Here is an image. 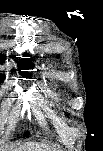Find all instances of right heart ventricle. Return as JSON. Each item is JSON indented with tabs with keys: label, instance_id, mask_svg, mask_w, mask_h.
<instances>
[{
	"label": "right heart ventricle",
	"instance_id": "obj_1",
	"mask_svg": "<svg viewBox=\"0 0 103 151\" xmlns=\"http://www.w3.org/2000/svg\"><path fill=\"white\" fill-rule=\"evenodd\" d=\"M57 108L61 112V114L65 115L68 112L67 107L65 106L64 103H57Z\"/></svg>",
	"mask_w": 103,
	"mask_h": 151
}]
</instances>
